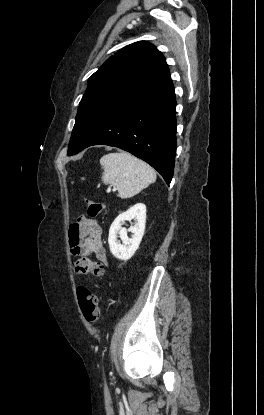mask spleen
<instances>
[{"mask_svg": "<svg viewBox=\"0 0 264 415\" xmlns=\"http://www.w3.org/2000/svg\"><path fill=\"white\" fill-rule=\"evenodd\" d=\"M100 164L103 183L115 187L123 199L135 196L156 181L152 167L126 152L106 154Z\"/></svg>", "mask_w": 264, "mask_h": 415, "instance_id": "3e777b00", "label": "spleen"}]
</instances>
